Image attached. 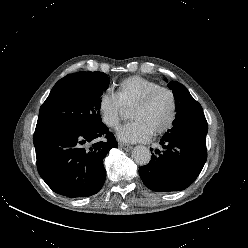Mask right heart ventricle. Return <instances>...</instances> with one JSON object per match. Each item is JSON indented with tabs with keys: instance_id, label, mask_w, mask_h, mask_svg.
<instances>
[{
	"instance_id": "right-heart-ventricle-1",
	"label": "right heart ventricle",
	"mask_w": 248,
	"mask_h": 248,
	"mask_svg": "<svg viewBox=\"0 0 248 248\" xmlns=\"http://www.w3.org/2000/svg\"><path fill=\"white\" fill-rule=\"evenodd\" d=\"M160 85L141 76H131L117 84L115 95L123 108H131L145 94Z\"/></svg>"
}]
</instances>
